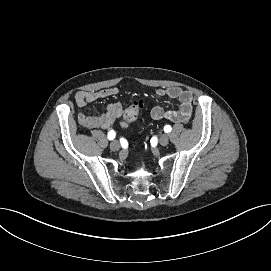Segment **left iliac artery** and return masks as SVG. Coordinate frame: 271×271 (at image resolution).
Here are the masks:
<instances>
[{"label": "left iliac artery", "instance_id": "obj_1", "mask_svg": "<svg viewBox=\"0 0 271 271\" xmlns=\"http://www.w3.org/2000/svg\"><path fill=\"white\" fill-rule=\"evenodd\" d=\"M171 130H172V128H171L170 125H166V126L164 127V131H165L166 133L171 132Z\"/></svg>", "mask_w": 271, "mask_h": 271}]
</instances>
